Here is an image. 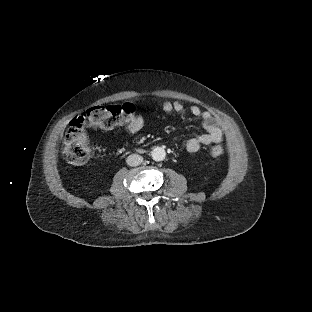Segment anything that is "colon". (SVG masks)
I'll return each mask as SVG.
<instances>
[{
	"label": "colon",
	"mask_w": 312,
	"mask_h": 312,
	"mask_svg": "<svg viewBox=\"0 0 312 312\" xmlns=\"http://www.w3.org/2000/svg\"><path fill=\"white\" fill-rule=\"evenodd\" d=\"M130 104L97 105L89 108L87 118L83 117L75 125L68 127L63 135L64 155L71 165H81L92 153V145L87 135V129L99 131L127 122L135 112ZM225 149L222 144L211 147L212 156H220Z\"/></svg>",
	"instance_id": "colon-1"
}]
</instances>
